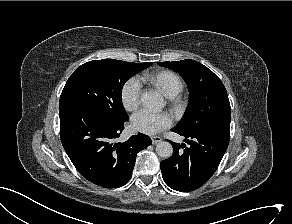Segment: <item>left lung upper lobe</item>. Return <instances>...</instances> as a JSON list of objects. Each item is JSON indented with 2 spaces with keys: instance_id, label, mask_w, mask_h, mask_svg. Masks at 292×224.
I'll list each match as a JSON object with an SVG mask.
<instances>
[{
  "instance_id": "5c2ea615",
  "label": "left lung upper lobe",
  "mask_w": 292,
  "mask_h": 224,
  "mask_svg": "<svg viewBox=\"0 0 292 224\" xmlns=\"http://www.w3.org/2000/svg\"><path fill=\"white\" fill-rule=\"evenodd\" d=\"M179 73L188 85L190 106L174 129L184 134L230 133L231 109L227 91L206 66L194 60L158 62Z\"/></svg>"
}]
</instances>
